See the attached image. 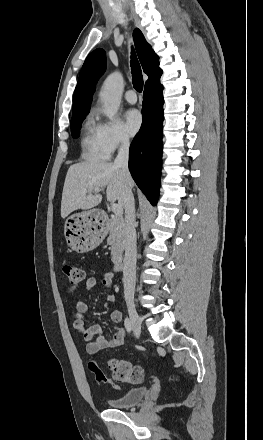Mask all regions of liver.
Listing matches in <instances>:
<instances>
[{
	"mask_svg": "<svg viewBox=\"0 0 263 440\" xmlns=\"http://www.w3.org/2000/svg\"><path fill=\"white\" fill-rule=\"evenodd\" d=\"M130 186H133L132 179ZM107 187V201L121 204L123 180L121 171L113 163L86 161L69 167L61 200V217L77 209L88 210L99 205L102 196L96 191Z\"/></svg>",
	"mask_w": 263,
	"mask_h": 440,
	"instance_id": "1",
	"label": "liver"
}]
</instances>
